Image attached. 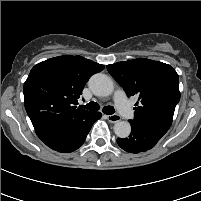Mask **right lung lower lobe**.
I'll return each instance as SVG.
<instances>
[{"instance_id":"obj_1","label":"right lung lower lobe","mask_w":201,"mask_h":201,"mask_svg":"<svg viewBox=\"0 0 201 201\" xmlns=\"http://www.w3.org/2000/svg\"><path fill=\"white\" fill-rule=\"evenodd\" d=\"M101 118L93 112L84 121L71 127H47L35 129L37 136L51 149L67 153L78 149L85 141L93 123Z\"/></svg>"}]
</instances>
